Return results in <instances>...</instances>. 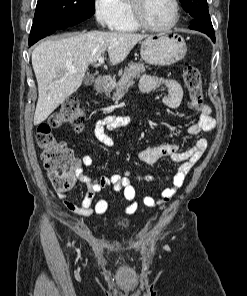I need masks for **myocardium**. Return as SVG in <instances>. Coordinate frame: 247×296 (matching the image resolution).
Wrapping results in <instances>:
<instances>
[{"label": "myocardium", "mask_w": 247, "mask_h": 296, "mask_svg": "<svg viewBox=\"0 0 247 296\" xmlns=\"http://www.w3.org/2000/svg\"><path fill=\"white\" fill-rule=\"evenodd\" d=\"M143 2L144 0H129L133 20L139 28L153 32H165L172 29L178 23L180 17V4L178 0H171L173 5V16L171 21L163 26L151 25L144 19L142 11Z\"/></svg>", "instance_id": "myocardium-1"}]
</instances>
